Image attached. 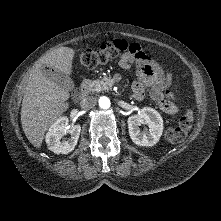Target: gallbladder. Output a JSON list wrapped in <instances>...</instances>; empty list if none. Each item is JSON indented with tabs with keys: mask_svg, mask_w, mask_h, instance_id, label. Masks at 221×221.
Listing matches in <instances>:
<instances>
[{
	"mask_svg": "<svg viewBox=\"0 0 221 221\" xmlns=\"http://www.w3.org/2000/svg\"><path fill=\"white\" fill-rule=\"evenodd\" d=\"M42 72L47 79L59 84L63 88L69 91L74 89V83L72 79L64 72L51 69H43Z\"/></svg>",
	"mask_w": 221,
	"mask_h": 221,
	"instance_id": "bac80fb5",
	"label": "gallbladder"
}]
</instances>
